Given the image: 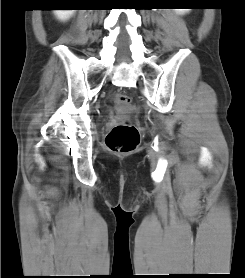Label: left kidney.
Masks as SVG:
<instances>
[{
    "instance_id": "obj_1",
    "label": "left kidney",
    "mask_w": 245,
    "mask_h": 278,
    "mask_svg": "<svg viewBox=\"0 0 245 278\" xmlns=\"http://www.w3.org/2000/svg\"><path fill=\"white\" fill-rule=\"evenodd\" d=\"M175 11H176L178 14H185V13H187L188 11H190V9H175Z\"/></svg>"
}]
</instances>
